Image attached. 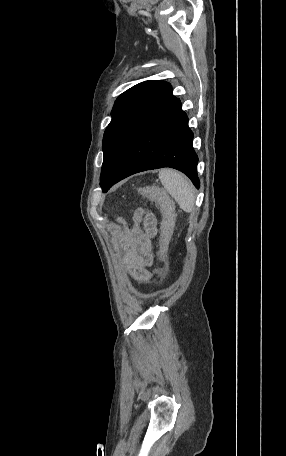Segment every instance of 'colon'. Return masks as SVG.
<instances>
[{
    "label": "colon",
    "mask_w": 286,
    "mask_h": 456,
    "mask_svg": "<svg viewBox=\"0 0 286 456\" xmlns=\"http://www.w3.org/2000/svg\"><path fill=\"white\" fill-rule=\"evenodd\" d=\"M139 193L151 198L159 206L163 214L162 234L160 239L159 258L161 265L155 269V273L161 277L166 275L167 245L172 232L173 204L170 197L158 186H143Z\"/></svg>",
    "instance_id": "colon-1"
}]
</instances>
